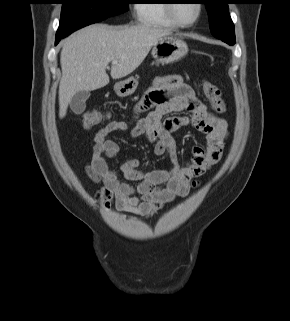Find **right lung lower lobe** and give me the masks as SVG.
<instances>
[{"label":"right lung lower lobe","mask_w":290,"mask_h":321,"mask_svg":"<svg viewBox=\"0 0 290 321\" xmlns=\"http://www.w3.org/2000/svg\"><path fill=\"white\" fill-rule=\"evenodd\" d=\"M62 38H64V37H58V36H56V44H58L59 41H60Z\"/></svg>","instance_id":"obj_1"}]
</instances>
